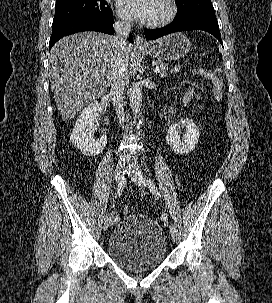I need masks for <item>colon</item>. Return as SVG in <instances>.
Wrapping results in <instances>:
<instances>
[{
  "label": "colon",
  "instance_id": "5ec220e1",
  "mask_svg": "<svg viewBox=\"0 0 272 303\" xmlns=\"http://www.w3.org/2000/svg\"><path fill=\"white\" fill-rule=\"evenodd\" d=\"M171 72L174 75H182V74H192L201 76L207 79H210L213 84L214 95L218 101H221L223 98V83L222 80L217 77L214 72L210 69L198 68V69H187L186 66L181 62H175L171 66ZM123 214L127 215L129 213V209L127 207L123 208Z\"/></svg>",
  "mask_w": 272,
  "mask_h": 303
}]
</instances>
